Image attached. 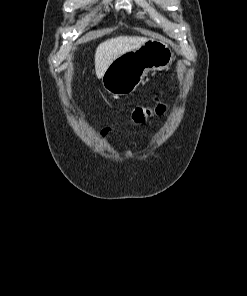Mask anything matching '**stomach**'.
Instances as JSON below:
<instances>
[{"label":"stomach","mask_w":247,"mask_h":296,"mask_svg":"<svg viewBox=\"0 0 247 296\" xmlns=\"http://www.w3.org/2000/svg\"><path fill=\"white\" fill-rule=\"evenodd\" d=\"M173 56L172 49L166 43L149 38L138 49L116 58L101 78L102 85L112 95L132 93L149 71L166 69Z\"/></svg>","instance_id":"1"}]
</instances>
